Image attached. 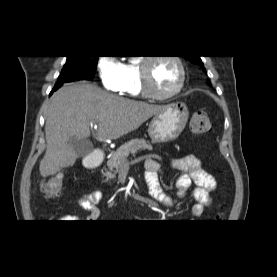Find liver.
<instances>
[{
	"label": "liver",
	"instance_id": "1",
	"mask_svg": "<svg viewBox=\"0 0 277 277\" xmlns=\"http://www.w3.org/2000/svg\"><path fill=\"white\" fill-rule=\"evenodd\" d=\"M164 106L127 100L87 84H68L56 91L46 112V152L39 170L43 177L73 166L76 152L68 146L71 137L86 139L90 126L98 123L96 136L118 139L138 129Z\"/></svg>",
	"mask_w": 277,
	"mask_h": 277
}]
</instances>
